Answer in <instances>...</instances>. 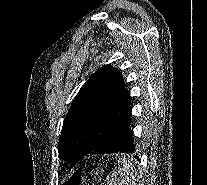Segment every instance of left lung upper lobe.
I'll return each instance as SVG.
<instances>
[{
  "instance_id": "5c2ea615",
  "label": "left lung upper lobe",
  "mask_w": 207,
  "mask_h": 185,
  "mask_svg": "<svg viewBox=\"0 0 207 185\" xmlns=\"http://www.w3.org/2000/svg\"><path fill=\"white\" fill-rule=\"evenodd\" d=\"M130 104L120 71L109 64L97 70L80 88L64 119L60 159L75 163L88 154H100Z\"/></svg>"
}]
</instances>
